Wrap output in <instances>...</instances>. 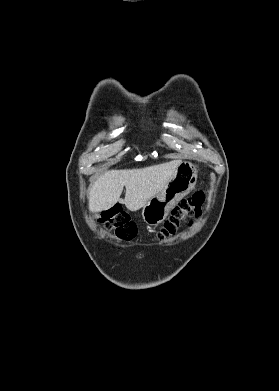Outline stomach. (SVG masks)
<instances>
[{
  "mask_svg": "<svg viewBox=\"0 0 279 391\" xmlns=\"http://www.w3.org/2000/svg\"><path fill=\"white\" fill-rule=\"evenodd\" d=\"M197 169L191 162H181L166 186L153 196L142 209V218L157 226L168 216L170 210L195 187Z\"/></svg>",
  "mask_w": 279,
  "mask_h": 391,
  "instance_id": "0dacf381",
  "label": "stomach"
}]
</instances>
